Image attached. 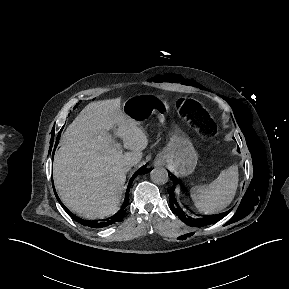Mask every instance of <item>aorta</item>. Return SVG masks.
<instances>
[{
	"label": "aorta",
	"instance_id": "1",
	"mask_svg": "<svg viewBox=\"0 0 289 289\" xmlns=\"http://www.w3.org/2000/svg\"><path fill=\"white\" fill-rule=\"evenodd\" d=\"M150 178L155 184H165L169 179L168 171L163 167H156L150 172Z\"/></svg>",
	"mask_w": 289,
	"mask_h": 289
}]
</instances>
